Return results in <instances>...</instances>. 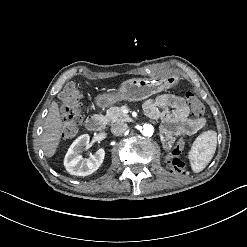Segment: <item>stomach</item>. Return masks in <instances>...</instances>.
<instances>
[{
  "label": "stomach",
  "instance_id": "1",
  "mask_svg": "<svg viewBox=\"0 0 247 247\" xmlns=\"http://www.w3.org/2000/svg\"><path fill=\"white\" fill-rule=\"evenodd\" d=\"M179 81L180 77L174 74L157 79H129L122 82L117 92L98 95L96 102L98 106L109 107L121 100L140 101L177 85Z\"/></svg>",
  "mask_w": 247,
  "mask_h": 247
}]
</instances>
